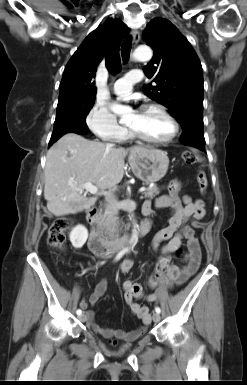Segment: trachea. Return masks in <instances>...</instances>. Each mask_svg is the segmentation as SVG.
Listing matches in <instances>:
<instances>
[{
  "label": "trachea",
  "mask_w": 247,
  "mask_h": 385,
  "mask_svg": "<svg viewBox=\"0 0 247 385\" xmlns=\"http://www.w3.org/2000/svg\"><path fill=\"white\" fill-rule=\"evenodd\" d=\"M131 51V36H127L121 46V54L124 62L128 61Z\"/></svg>",
  "instance_id": "1"
}]
</instances>
